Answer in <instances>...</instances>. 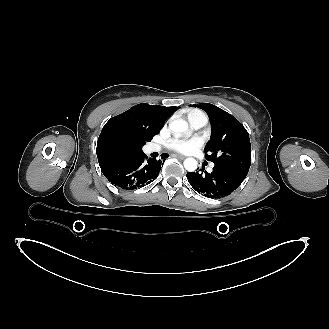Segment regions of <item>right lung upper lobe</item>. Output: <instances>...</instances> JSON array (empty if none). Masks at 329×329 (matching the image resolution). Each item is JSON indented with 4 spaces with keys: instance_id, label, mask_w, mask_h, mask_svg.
<instances>
[{
    "instance_id": "obj_1",
    "label": "right lung upper lobe",
    "mask_w": 329,
    "mask_h": 329,
    "mask_svg": "<svg viewBox=\"0 0 329 329\" xmlns=\"http://www.w3.org/2000/svg\"><path fill=\"white\" fill-rule=\"evenodd\" d=\"M177 107L138 104L111 118L97 141L99 165L142 153V146L158 134Z\"/></svg>"
}]
</instances>
